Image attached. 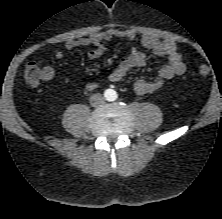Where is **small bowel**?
I'll return each mask as SVG.
<instances>
[{"label":"small bowel","mask_w":222,"mask_h":219,"mask_svg":"<svg viewBox=\"0 0 222 219\" xmlns=\"http://www.w3.org/2000/svg\"><path fill=\"white\" fill-rule=\"evenodd\" d=\"M137 37V32L132 29L110 28L95 32L88 37L70 39L65 43V48L67 50H73L78 47H92L87 57L90 60H95L105 52L106 42L114 39L134 42ZM141 43L155 55L165 57L167 63L160 68L153 80L138 79L135 81L134 90L137 94L144 95L155 92L161 89L167 80L185 72L186 64L184 58L174 41L161 40L153 34L145 33L141 36ZM63 55L64 53L61 50L56 52L57 59H61ZM145 62V54L133 48L130 55L124 58L119 66L109 74L108 79L113 83H118L122 81L131 70L142 67ZM44 70L46 72L44 80H51L54 77V69L52 67H45ZM84 86L87 90L93 91L97 88V83L94 81H86Z\"/></svg>","instance_id":"c3829d8e"}]
</instances>
